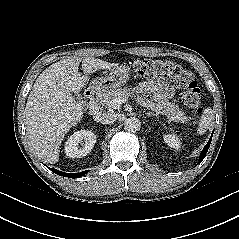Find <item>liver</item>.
<instances>
[{
  "label": "liver",
  "instance_id": "obj_1",
  "mask_svg": "<svg viewBox=\"0 0 239 239\" xmlns=\"http://www.w3.org/2000/svg\"><path fill=\"white\" fill-rule=\"evenodd\" d=\"M77 57L60 60L46 68L36 79L25 107L26 131L31 146L47 163H56L65 133L81 121L82 106L72 93H79L89 80L88 75L117 64L100 59Z\"/></svg>",
  "mask_w": 239,
  "mask_h": 239
}]
</instances>
